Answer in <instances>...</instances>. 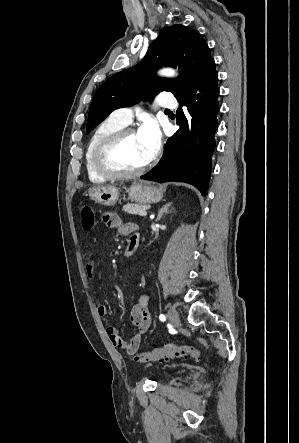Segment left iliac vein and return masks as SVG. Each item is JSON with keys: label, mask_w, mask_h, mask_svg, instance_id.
<instances>
[{"label": "left iliac vein", "mask_w": 299, "mask_h": 443, "mask_svg": "<svg viewBox=\"0 0 299 443\" xmlns=\"http://www.w3.org/2000/svg\"><path fill=\"white\" fill-rule=\"evenodd\" d=\"M167 316H168V319H169L170 323L174 327H178L180 325L179 315H178L177 311L174 308L169 309Z\"/></svg>", "instance_id": "obj_1"}]
</instances>
